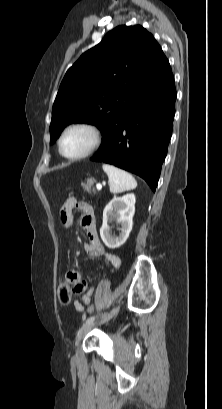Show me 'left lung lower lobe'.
<instances>
[{"label": "left lung lower lobe", "instance_id": "left-lung-lower-lobe-1", "mask_svg": "<svg viewBox=\"0 0 222 409\" xmlns=\"http://www.w3.org/2000/svg\"><path fill=\"white\" fill-rule=\"evenodd\" d=\"M175 100L171 71L137 94L118 114L91 160L132 172L155 191L172 134Z\"/></svg>", "mask_w": 222, "mask_h": 409}]
</instances>
